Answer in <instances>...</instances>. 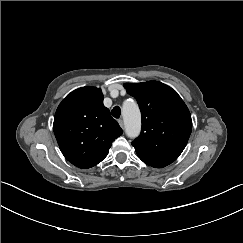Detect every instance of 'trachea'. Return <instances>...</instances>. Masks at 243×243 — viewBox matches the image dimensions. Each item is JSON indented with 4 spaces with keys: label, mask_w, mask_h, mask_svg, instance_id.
<instances>
[{
    "label": "trachea",
    "mask_w": 243,
    "mask_h": 243,
    "mask_svg": "<svg viewBox=\"0 0 243 243\" xmlns=\"http://www.w3.org/2000/svg\"><path fill=\"white\" fill-rule=\"evenodd\" d=\"M112 116L115 117V118H119L120 115H121V108L119 106H115L113 109H112Z\"/></svg>",
    "instance_id": "1"
}]
</instances>
